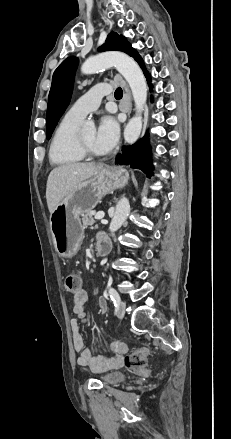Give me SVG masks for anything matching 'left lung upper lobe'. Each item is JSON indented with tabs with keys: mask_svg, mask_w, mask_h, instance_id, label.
Returning a JSON list of instances; mask_svg holds the SVG:
<instances>
[{
	"mask_svg": "<svg viewBox=\"0 0 231 439\" xmlns=\"http://www.w3.org/2000/svg\"><path fill=\"white\" fill-rule=\"evenodd\" d=\"M98 50L123 51L134 59L139 55L126 38L116 32H111ZM77 66L78 59L69 57L59 65L53 74L46 117L47 139H50L57 122L69 105Z\"/></svg>",
	"mask_w": 231,
	"mask_h": 439,
	"instance_id": "left-lung-upper-lobe-1",
	"label": "left lung upper lobe"
}]
</instances>
